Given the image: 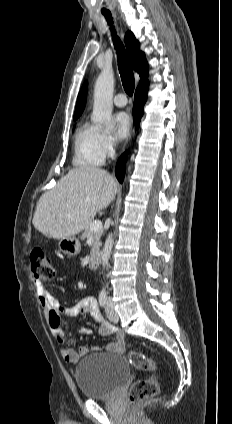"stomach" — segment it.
I'll list each match as a JSON object with an SVG mask.
<instances>
[{"mask_svg":"<svg viewBox=\"0 0 232 424\" xmlns=\"http://www.w3.org/2000/svg\"><path fill=\"white\" fill-rule=\"evenodd\" d=\"M58 246L59 250L69 257L76 256L81 249L79 240L73 236L61 239Z\"/></svg>","mask_w":232,"mask_h":424,"instance_id":"1","label":"stomach"}]
</instances>
